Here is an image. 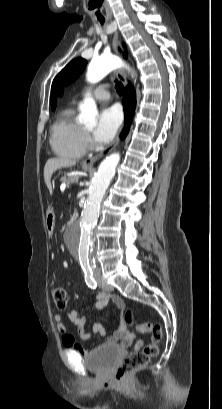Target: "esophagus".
Here are the masks:
<instances>
[{"label": "esophagus", "mask_w": 222, "mask_h": 409, "mask_svg": "<svg viewBox=\"0 0 222 409\" xmlns=\"http://www.w3.org/2000/svg\"><path fill=\"white\" fill-rule=\"evenodd\" d=\"M112 32H113L112 45H113L114 51H116L117 46H118V44H119V33H118V28H117L116 22H115V23H112ZM116 76H117V78L123 83L124 86H127L128 82H127V79H126V77H125V75H124L122 69H118V70L116 71ZM121 130H122V129H121ZM121 130H120V132H119L117 138L115 139V141H114L110 146H108L106 149H104V150H103L102 152H100L99 154H97V155H95V156H93V157H89V158L85 159V160L83 161V165H84L85 167L92 168L93 165H94V163H95L97 160H99L100 158H102L104 155L110 153V152L113 150V148H114V147L119 143V141H120Z\"/></svg>", "instance_id": "1"}]
</instances>
